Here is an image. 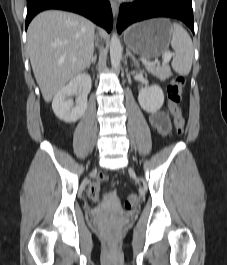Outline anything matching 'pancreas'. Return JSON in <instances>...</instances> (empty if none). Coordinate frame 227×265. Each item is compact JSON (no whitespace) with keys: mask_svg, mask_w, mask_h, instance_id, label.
<instances>
[{"mask_svg":"<svg viewBox=\"0 0 227 265\" xmlns=\"http://www.w3.org/2000/svg\"><path fill=\"white\" fill-rule=\"evenodd\" d=\"M147 70L156 75L162 81L171 77L172 75L170 67L166 63H164L162 66H147Z\"/></svg>","mask_w":227,"mask_h":265,"instance_id":"cf45deb5","label":"pancreas"}]
</instances>
